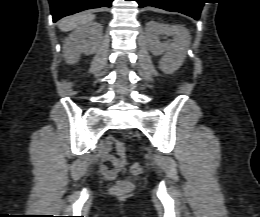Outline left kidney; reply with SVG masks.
Wrapping results in <instances>:
<instances>
[{
	"label": "left kidney",
	"mask_w": 260,
	"mask_h": 217,
	"mask_svg": "<svg viewBox=\"0 0 260 217\" xmlns=\"http://www.w3.org/2000/svg\"><path fill=\"white\" fill-rule=\"evenodd\" d=\"M149 29V49L155 56H159L166 52L160 61L159 68L167 74H172L180 68L186 57L187 41L179 36V29L157 24L153 21L148 24ZM173 35L175 40L173 43H161L159 35Z\"/></svg>",
	"instance_id": "obj_1"
}]
</instances>
